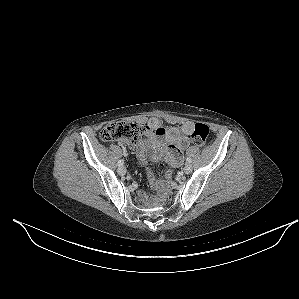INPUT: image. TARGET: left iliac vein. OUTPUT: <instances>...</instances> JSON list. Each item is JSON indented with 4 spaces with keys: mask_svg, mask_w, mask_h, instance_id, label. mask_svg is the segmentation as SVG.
<instances>
[{
    "mask_svg": "<svg viewBox=\"0 0 299 299\" xmlns=\"http://www.w3.org/2000/svg\"><path fill=\"white\" fill-rule=\"evenodd\" d=\"M184 173L186 174H189L192 172V165L187 163L185 166H184V169H183Z\"/></svg>",
    "mask_w": 299,
    "mask_h": 299,
    "instance_id": "4c4485c4",
    "label": "left iliac vein"
}]
</instances>
